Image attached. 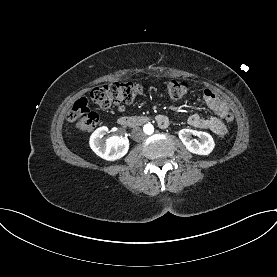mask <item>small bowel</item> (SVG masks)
Listing matches in <instances>:
<instances>
[{
  "mask_svg": "<svg viewBox=\"0 0 277 277\" xmlns=\"http://www.w3.org/2000/svg\"><path fill=\"white\" fill-rule=\"evenodd\" d=\"M203 100L206 105L216 114L215 117L203 118L198 114L190 116L188 123L195 128L207 129L216 135L222 136L226 133V126L223 123L224 115L230 112L228 105L220 99L214 92L209 89H205L203 92ZM120 112H125V107L120 105L118 107ZM159 122L162 126L168 124V120L165 116H159Z\"/></svg>",
  "mask_w": 277,
  "mask_h": 277,
  "instance_id": "c3829d8e",
  "label": "small bowel"
}]
</instances>
